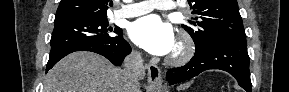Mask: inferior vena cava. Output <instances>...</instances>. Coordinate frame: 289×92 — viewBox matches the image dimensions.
Returning a JSON list of instances; mask_svg holds the SVG:
<instances>
[{
  "label": "inferior vena cava",
  "instance_id": "1",
  "mask_svg": "<svg viewBox=\"0 0 289 92\" xmlns=\"http://www.w3.org/2000/svg\"><path fill=\"white\" fill-rule=\"evenodd\" d=\"M124 75L127 80V87L134 88V85L145 76L143 59L139 51H132L124 59Z\"/></svg>",
  "mask_w": 289,
  "mask_h": 92
}]
</instances>
